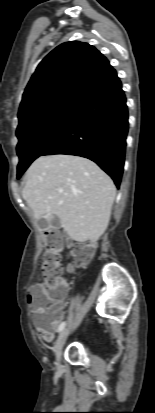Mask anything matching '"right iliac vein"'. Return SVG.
<instances>
[{"instance_id":"obj_1","label":"right iliac vein","mask_w":155,"mask_h":413,"mask_svg":"<svg viewBox=\"0 0 155 413\" xmlns=\"http://www.w3.org/2000/svg\"><path fill=\"white\" fill-rule=\"evenodd\" d=\"M70 328L66 327L64 328L61 333L59 334L56 344L54 346V353H55V358H56V366L60 368V359L62 355V349L65 344L66 338L69 334Z\"/></svg>"}]
</instances>
